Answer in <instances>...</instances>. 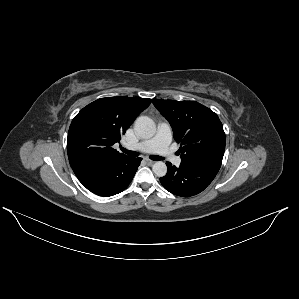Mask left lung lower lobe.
Listing matches in <instances>:
<instances>
[{"label": "left lung lower lobe", "instance_id": "obj_1", "mask_svg": "<svg viewBox=\"0 0 299 299\" xmlns=\"http://www.w3.org/2000/svg\"><path fill=\"white\" fill-rule=\"evenodd\" d=\"M167 174L160 178L172 194L189 197L202 192L215 178L221 163L213 160L181 162L179 168L167 162Z\"/></svg>", "mask_w": 299, "mask_h": 299}]
</instances>
